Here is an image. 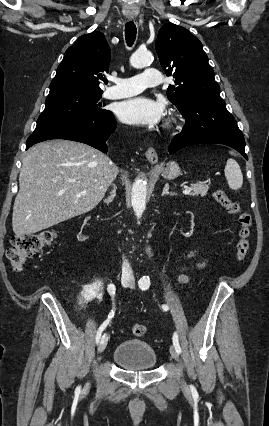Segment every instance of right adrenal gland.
<instances>
[{
    "label": "right adrenal gland",
    "instance_id": "right-adrenal-gland-1",
    "mask_svg": "<svg viewBox=\"0 0 269 426\" xmlns=\"http://www.w3.org/2000/svg\"><path fill=\"white\" fill-rule=\"evenodd\" d=\"M112 186H113V189H112V191L110 192V196H109L107 199H105V200H104V202H105L107 205H109V204L113 201L114 197L116 196V190H117V187H116V185H115V184H113Z\"/></svg>",
    "mask_w": 269,
    "mask_h": 426
}]
</instances>
